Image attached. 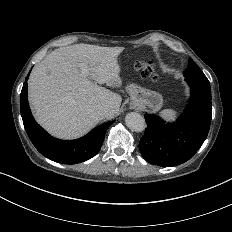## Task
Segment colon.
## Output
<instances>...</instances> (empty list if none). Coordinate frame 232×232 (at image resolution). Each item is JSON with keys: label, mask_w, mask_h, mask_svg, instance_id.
<instances>
[{"label": "colon", "mask_w": 232, "mask_h": 232, "mask_svg": "<svg viewBox=\"0 0 232 232\" xmlns=\"http://www.w3.org/2000/svg\"><path fill=\"white\" fill-rule=\"evenodd\" d=\"M140 73H157V68H147V65H142V68H140ZM146 79H155V74H146Z\"/></svg>", "instance_id": "1"}]
</instances>
